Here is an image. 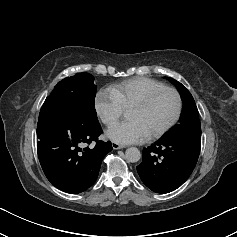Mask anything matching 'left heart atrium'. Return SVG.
I'll return each mask as SVG.
<instances>
[{"mask_svg":"<svg viewBox=\"0 0 237 237\" xmlns=\"http://www.w3.org/2000/svg\"><path fill=\"white\" fill-rule=\"evenodd\" d=\"M107 136L120 144L142 143L149 138L142 124L137 120L120 122L107 131Z\"/></svg>","mask_w":237,"mask_h":237,"instance_id":"1","label":"left heart atrium"}]
</instances>
